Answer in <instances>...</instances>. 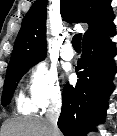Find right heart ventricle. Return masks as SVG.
Here are the masks:
<instances>
[{
  "label": "right heart ventricle",
  "instance_id": "obj_1",
  "mask_svg": "<svg viewBox=\"0 0 117 136\" xmlns=\"http://www.w3.org/2000/svg\"><path fill=\"white\" fill-rule=\"evenodd\" d=\"M17 108L24 114H32L36 111V107L33 103L26 100L22 95L17 99Z\"/></svg>",
  "mask_w": 117,
  "mask_h": 136
}]
</instances>
